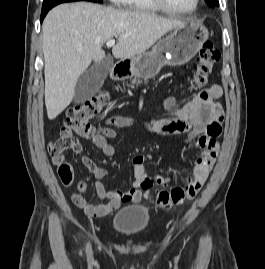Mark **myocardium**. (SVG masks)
I'll list each match as a JSON object with an SVG mask.
<instances>
[{"instance_id":"1","label":"myocardium","mask_w":265,"mask_h":269,"mask_svg":"<svg viewBox=\"0 0 265 269\" xmlns=\"http://www.w3.org/2000/svg\"><path fill=\"white\" fill-rule=\"evenodd\" d=\"M153 3L158 6L161 10L169 12V13H175V14H191L195 12L200 4V0H195L194 6L189 10H181L174 8L170 6L166 0H152Z\"/></svg>"}]
</instances>
